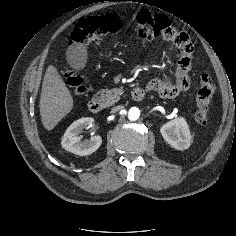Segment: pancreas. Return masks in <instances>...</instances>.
<instances>
[{
    "mask_svg": "<svg viewBox=\"0 0 236 236\" xmlns=\"http://www.w3.org/2000/svg\"><path fill=\"white\" fill-rule=\"evenodd\" d=\"M123 93L122 89H103L98 92L95 97L101 101L105 106H111L120 99V95Z\"/></svg>",
    "mask_w": 236,
    "mask_h": 236,
    "instance_id": "cf45deb5",
    "label": "pancreas"
}]
</instances>
